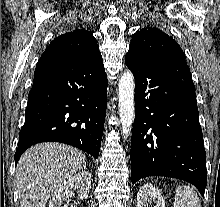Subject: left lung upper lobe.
Segmentation results:
<instances>
[{
    "label": "left lung upper lobe",
    "instance_id": "5c2ea615",
    "mask_svg": "<svg viewBox=\"0 0 220 207\" xmlns=\"http://www.w3.org/2000/svg\"><path fill=\"white\" fill-rule=\"evenodd\" d=\"M129 51L157 62H186L178 43L156 27H144L137 31L129 45Z\"/></svg>",
    "mask_w": 220,
    "mask_h": 207
}]
</instances>
